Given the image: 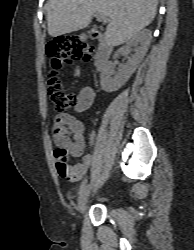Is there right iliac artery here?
Instances as JSON below:
<instances>
[{"label": "right iliac artery", "instance_id": "82829eb1", "mask_svg": "<svg viewBox=\"0 0 194 250\" xmlns=\"http://www.w3.org/2000/svg\"><path fill=\"white\" fill-rule=\"evenodd\" d=\"M86 183H87V177H85V178L83 179V181L81 182V185H80V187H79V192H78V194H81V193H82V191L84 190V188H85V186H86Z\"/></svg>", "mask_w": 194, "mask_h": 250}]
</instances>
